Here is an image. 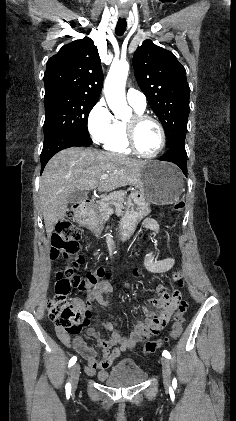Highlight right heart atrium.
I'll use <instances>...</instances> for the list:
<instances>
[{
	"label": "right heart atrium",
	"mask_w": 236,
	"mask_h": 421,
	"mask_svg": "<svg viewBox=\"0 0 236 421\" xmlns=\"http://www.w3.org/2000/svg\"><path fill=\"white\" fill-rule=\"evenodd\" d=\"M116 119L104 100L98 101L91 109L87 127L92 141L99 145L105 142L114 129Z\"/></svg>",
	"instance_id": "obj_1"
}]
</instances>
